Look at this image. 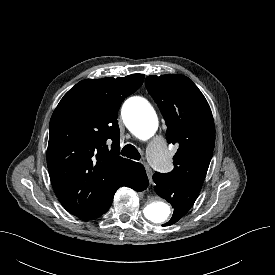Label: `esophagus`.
<instances>
[{
  "instance_id": "34e87169",
  "label": "esophagus",
  "mask_w": 275,
  "mask_h": 275,
  "mask_svg": "<svg viewBox=\"0 0 275 275\" xmlns=\"http://www.w3.org/2000/svg\"><path fill=\"white\" fill-rule=\"evenodd\" d=\"M143 165L145 167L148 179L151 181V179H152V170H151V168L145 162H143Z\"/></svg>"
}]
</instances>
